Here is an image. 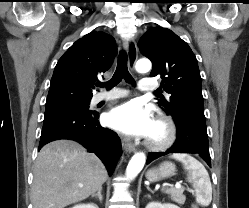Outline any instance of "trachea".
Listing matches in <instances>:
<instances>
[{
  "mask_svg": "<svg viewBox=\"0 0 249 208\" xmlns=\"http://www.w3.org/2000/svg\"><path fill=\"white\" fill-rule=\"evenodd\" d=\"M123 78L125 79L126 82L130 84H135L133 77L128 71L127 55L125 51L122 50L119 54L117 67L113 77L106 84L98 83L97 86L99 87L106 86L107 89H111L114 86H116L118 83H120ZM155 94H160V93L155 92Z\"/></svg>",
  "mask_w": 249,
  "mask_h": 208,
  "instance_id": "3493384b",
  "label": "trachea"
}]
</instances>
